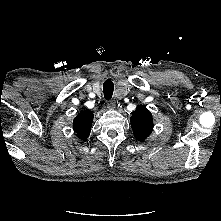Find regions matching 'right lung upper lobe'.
<instances>
[{"label": "right lung upper lobe", "instance_id": "right-lung-upper-lobe-1", "mask_svg": "<svg viewBox=\"0 0 221 221\" xmlns=\"http://www.w3.org/2000/svg\"><path fill=\"white\" fill-rule=\"evenodd\" d=\"M93 116V113L85 111L74 119L73 129L80 139L85 140L89 136Z\"/></svg>", "mask_w": 221, "mask_h": 221}]
</instances>
